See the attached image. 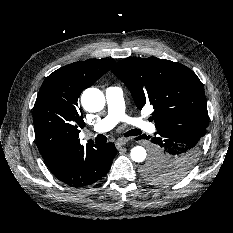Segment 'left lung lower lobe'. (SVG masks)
Returning a JSON list of instances; mask_svg holds the SVG:
<instances>
[{
  "mask_svg": "<svg viewBox=\"0 0 233 233\" xmlns=\"http://www.w3.org/2000/svg\"><path fill=\"white\" fill-rule=\"evenodd\" d=\"M204 135L194 128L177 127L157 130L153 137L141 135L139 138L150 139L154 144L151 160L161 161L163 166L169 168L164 170L166 173L178 176L175 170L192 168L195 164Z\"/></svg>",
  "mask_w": 233,
  "mask_h": 233,
  "instance_id": "1",
  "label": "left lung lower lobe"
}]
</instances>
